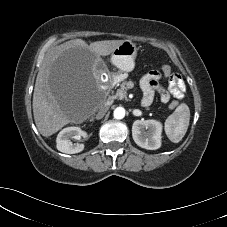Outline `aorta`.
Wrapping results in <instances>:
<instances>
[{"mask_svg":"<svg viewBox=\"0 0 227 227\" xmlns=\"http://www.w3.org/2000/svg\"><path fill=\"white\" fill-rule=\"evenodd\" d=\"M113 115L115 119H123L125 117V109L123 107H117Z\"/></svg>","mask_w":227,"mask_h":227,"instance_id":"obj_1","label":"aorta"}]
</instances>
